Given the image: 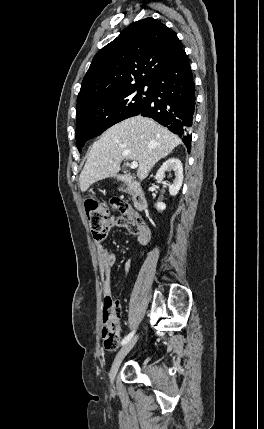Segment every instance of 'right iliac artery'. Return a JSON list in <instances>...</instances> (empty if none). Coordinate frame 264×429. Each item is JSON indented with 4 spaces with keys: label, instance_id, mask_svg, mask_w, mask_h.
Wrapping results in <instances>:
<instances>
[{
    "label": "right iliac artery",
    "instance_id": "right-iliac-artery-1",
    "mask_svg": "<svg viewBox=\"0 0 264 429\" xmlns=\"http://www.w3.org/2000/svg\"><path fill=\"white\" fill-rule=\"evenodd\" d=\"M133 335H134V331H132L126 337H124V339L122 340L121 344L125 345L128 341H130V339L133 337Z\"/></svg>",
    "mask_w": 264,
    "mask_h": 429
}]
</instances>
